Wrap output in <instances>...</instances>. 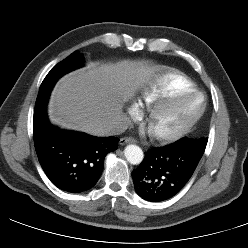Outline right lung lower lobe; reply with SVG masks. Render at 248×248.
Wrapping results in <instances>:
<instances>
[{"label": "right lung lower lobe", "instance_id": "98d812e1", "mask_svg": "<svg viewBox=\"0 0 248 248\" xmlns=\"http://www.w3.org/2000/svg\"><path fill=\"white\" fill-rule=\"evenodd\" d=\"M51 90L39 91L33 117V137L38 160L50 181L59 189L79 193L98 181L105 156L117 149L119 139L64 131L47 118Z\"/></svg>", "mask_w": 248, "mask_h": 248}]
</instances>
